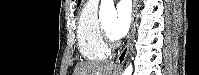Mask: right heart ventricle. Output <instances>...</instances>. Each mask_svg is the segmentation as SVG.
Wrapping results in <instances>:
<instances>
[{"label":"right heart ventricle","instance_id":"right-heart-ventricle-1","mask_svg":"<svg viewBox=\"0 0 199 75\" xmlns=\"http://www.w3.org/2000/svg\"><path fill=\"white\" fill-rule=\"evenodd\" d=\"M100 26L97 6L87 4L78 20L77 41L81 55L89 61L104 60L109 55Z\"/></svg>","mask_w":199,"mask_h":75}]
</instances>
